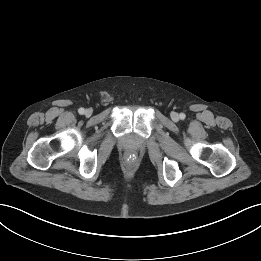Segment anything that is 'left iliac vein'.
Segmentation results:
<instances>
[{
	"mask_svg": "<svg viewBox=\"0 0 261 261\" xmlns=\"http://www.w3.org/2000/svg\"><path fill=\"white\" fill-rule=\"evenodd\" d=\"M171 118H172L174 121H178V120H179V115H178L177 113L173 112V113L171 114Z\"/></svg>",
	"mask_w": 261,
	"mask_h": 261,
	"instance_id": "left-iliac-vein-1",
	"label": "left iliac vein"
}]
</instances>
